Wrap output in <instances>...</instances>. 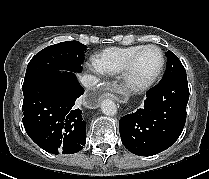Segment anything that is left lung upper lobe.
<instances>
[{
  "label": "left lung upper lobe",
  "instance_id": "1",
  "mask_svg": "<svg viewBox=\"0 0 209 179\" xmlns=\"http://www.w3.org/2000/svg\"><path fill=\"white\" fill-rule=\"evenodd\" d=\"M166 57L168 58L167 68L160 82H165L180 76H186V71L182 63L171 51L166 52Z\"/></svg>",
  "mask_w": 209,
  "mask_h": 179
}]
</instances>
